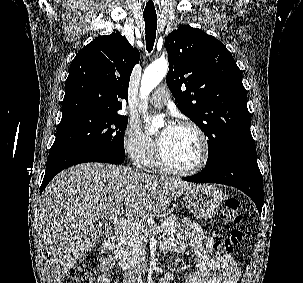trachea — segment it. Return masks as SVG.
Returning <instances> with one entry per match:
<instances>
[{"label": "trachea", "instance_id": "3493384b", "mask_svg": "<svg viewBox=\"0 0 303 283\" xmlns=\"http://www.w3.org/2000/svg\"><path fill=\"white\" fill-rule=\"evenodd\" d=\"M145 21V39H146V48L148 52H151L154 46L156 38V29H157V17L143 15Z\"/></svg>", "mask_w": 303, "mask_h": 283}]
</instances>
